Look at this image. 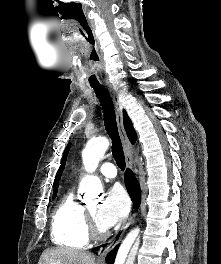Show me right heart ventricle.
<instances>
[{
  "instance_id": "1",
  "label": "right heart ventricle",
  "mask_w": 221,
  "mask_h": 264,
  "mask_svg": "<svg viewBox=\"0 0 221 264\" xmlns=\"http://www.w3.org/2000/svg\"><path fill=\"white\" fill-rule=\"evenodd\" d=\"M51 238L54 244L79 249L85 247L90 238L85 208L68 191L59 202L51 223Z\"/></svg>"
}]
</instances>
